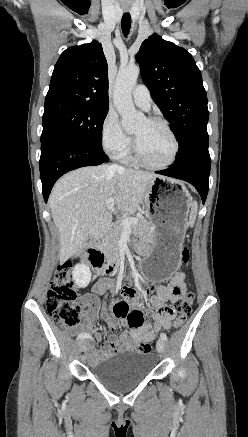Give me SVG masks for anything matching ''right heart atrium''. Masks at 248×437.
Instances as JSON below:
<instances>
[{"label":"right heart atrium","mask_w":248,"mask_h":437,"mask_svg":"<svg viewBox=\"0 0 248 437\" xmlns=\"http://www.w3.org/2000/svg\"><path fill=\"white\" fill-rule=\"evenodd\" d=\"M101 142L103 148L118 157L128 153L131 138L122 128L117 113L110 109L101 124Z\"/></svg>","instance_id":"right-heart-atrium-1"}]
</instances>
